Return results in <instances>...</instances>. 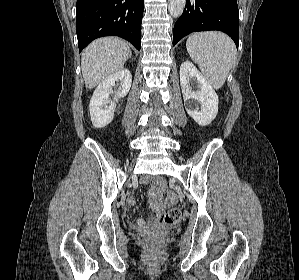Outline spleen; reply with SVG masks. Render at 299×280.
I'll use <instances>...</instances> for the list:
<instances>
[{"label": "spleen", "mask_w": 299, "mask_h": 280, "mask_svg": "<svg viewBox=\"0 0 299 280\" xmlns=\"http://www.w3.org/2000/svg\"><path fill=\"white\" fill-rule=\"evenodd\" d=\"M186 48L210 85L221 88L236 62V47L232 39L214 31L195 33L188 37Z\"/></svg>", "instance_id": "spleen-1"}]
</instances>
